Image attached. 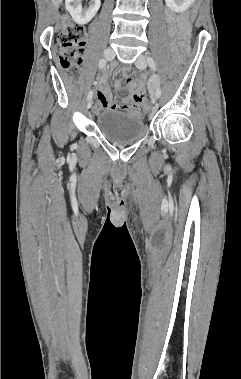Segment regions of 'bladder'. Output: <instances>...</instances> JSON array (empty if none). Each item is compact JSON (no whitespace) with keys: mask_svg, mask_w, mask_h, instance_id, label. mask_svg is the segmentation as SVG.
<instances>
[{"mask_svg":"<svg viewBox=\"0 0 241 379\" xmlns=\"http://www.w3.org/2000/svg\"><path fill=\"white\" fill-rule=\"evenodd\" d=\"M97 127L109 142L125 145L139 140L145 133L143 119L135 114L105 110L97 116Z\"/></svg>","mask_w":241,"mask_h":379,"instance_id":"bladder-1","label":"bladder"}]
</instances>
